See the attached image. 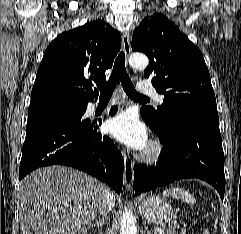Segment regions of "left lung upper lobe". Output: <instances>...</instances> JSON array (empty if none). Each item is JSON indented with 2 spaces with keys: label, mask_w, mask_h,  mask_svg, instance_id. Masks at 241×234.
I'll use <instances>...</instances> for the list:
<instances>
[{
  "label": "left lung upper lobe",
  "mask_w": 241,
  "mask_h": 234,
  "mask_svg": "<svg viewBox=\"0 0 241 234\" xmlns=\"http://www.w3.org/2000/svg\"><path fill=\"white\" fill-rule=\"evenodd\" d=\"M132 50L145 53L149 66L146 78L163 104L157 110L143 107L144 121L164 136L173 118H200L219 122L210 74L200 50L164 15L155 13L142 20L134 30Z\"/></svg>",
  "instance_id": "left-lung-upper-lobe-1"
}]
</instances>
